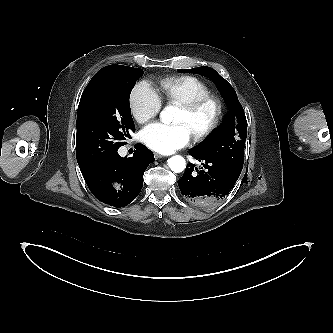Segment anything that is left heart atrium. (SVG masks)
Returning a JSON list of instances; mask_svg holds the SVG:
<instances>
[{
  "label": "left heart atrium",
  "instance_id": "1",
  "mask_svg": "<svg viewBox=\"0 0 333 333\" xmlns=\"http://www.w3.org/2000/svg\"><path fill=\"white\" fill-rule=\"evenodd\" d=\"M191 134L183 124L153 123L141 131V141L151 150L168 154L189 144Z\"/></svg>",
  "mask_w": 333,
  "mask_h": 333
}]
</instances>
